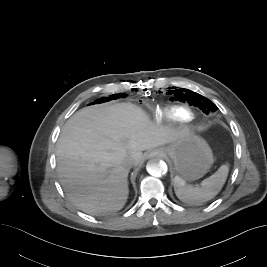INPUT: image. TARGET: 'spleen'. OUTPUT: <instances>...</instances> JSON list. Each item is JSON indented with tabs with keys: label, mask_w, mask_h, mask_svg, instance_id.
I'll return each mask as SVG.
<instances>
[{
	"label": "spleen",
	"mask_w": 267,
	"mask_h": 267,
	"mask_svg": "<svg viewBox=\"0 0 267 267\" xmlns=\"http://www.w3.org/2000/svg\"><path fill=\"white\" fill-rule=\"evenodd\" d=\"M229 172L228 165L224 164L210 177L204 179L200 187L187 185L179 176L174 177L176 196L183 202L200 204L214 198L222 189Z\"/></svg>",
	"instance_id": "1"
}]
</instances>
